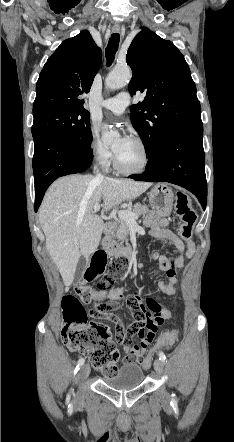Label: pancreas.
Returning <instances> with one entry per match:
<instances>
[{"mask_svg": "<svg viewBox=\"0 0 234 442\" xmlns=\"http://www.w3.org/2000/svg\"><path fill=\"white\" fill-rule=\"evenodd\" d=\"M127 210L136 214L138 217L141 215L145 216L149 213V208L141 203H136L135 205L130 206ZM113 229L116 230V233H112ZM128 236V223L121 219L116 220L114 223H112V226L109 227V231L106 233L105 240L103 241V246L109 255H115V246L121 247L122 243L124 242L128 244Z\"/></svg>", "mask_w": 234, "mask_h": 442, "instance_id": "cf45deb5", "label": "pancreas"}]
</instances>
